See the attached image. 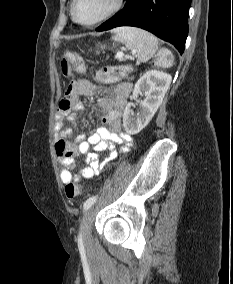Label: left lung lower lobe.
Here are the masks:
<instances>
[{"label": "left lung lower lobe", "instance_id": "left-lung-lower-lobe-1", "mask_svg": "<svg viewBox=\"0 0 233 284\" xmlns=\"http://www.w3.org/2000/svg\"><path fill=\"white\" fill-rule=\"evenodd\" d=\"M192 0H126L124 8L96 31L119 26L145 29L173 44L182 54L188 36V13Z\"/></svg>", "mask_w": 233, "mask_h": 284}]
</instances>
